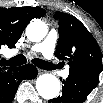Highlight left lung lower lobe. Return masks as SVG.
I'll return each mask as SVG.
<instances>
[{"instance_id": "obj_1", "label": "left lung lower lobe", "mask_w": 103, "mask_h": 103, "mask_svg": "<svg viewBox=\"0 0 103 103\" xmlns=\"http://www.w3.org/2000/svg\"><path fill=\"white\" fill-rule=\"evenodd\" d=\"M99 81L98 73H69L63 80L62 95L49 103H82Z\"/></svg>"}]
</instances>
